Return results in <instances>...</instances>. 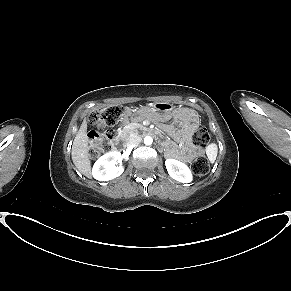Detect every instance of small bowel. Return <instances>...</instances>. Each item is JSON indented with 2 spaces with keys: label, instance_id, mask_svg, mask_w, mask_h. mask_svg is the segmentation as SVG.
I'll return each mask as SVG.
<instances>
[{
  "label": "small bowel",
  "instance_id": "obj_1",
  "mask_svg": "<svg viewBox=\"0 0 291 291\" xmlns=\"http://www.w3.org/2000/svg\"><path fill=\"white\" fill-rule=\"evenodd\" d=\"M139 114H143L144 110H139ZM124 123H127L134 116L131 109H125ZM171 116L173 122L166 126L169 134L179 141V145L169 144L167 146V154L169 157L180 161H191L198 155V151L191 143V135L198 126L199 110L197 108H180L173 109ZM150 118L156 121H161L169 118L168 114L150 115Z\"/></svg>",
  "mask_w": 291,
  "mask_h": 291
}]
</instances>
